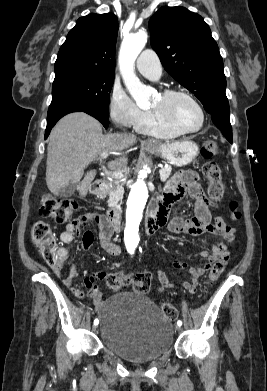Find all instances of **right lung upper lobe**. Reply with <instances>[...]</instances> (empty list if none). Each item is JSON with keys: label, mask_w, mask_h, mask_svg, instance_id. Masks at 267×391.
I'll return each instance as SVG.
<instances>
[{"label": "right lung upper lobe", "mask_w": 267, "mask_h": 391, "mask_svg": "<svg viewBox=\"0 0 267 391\" xmlns=\"http://www.w3.org/2000/svg\"><path fill=\"white\" fill-rule=\"evenodd\" d=\"M118 20L112 13L77 20L55 62V76L70 72L115 74Z\"/></svg>", "instance_id": "1"}]
</instances>
